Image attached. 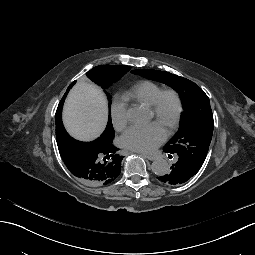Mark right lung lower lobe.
<instances>
[{"mask_svg": "<svg viewBox=\"0 0 255 255\" xmlns=\"http://www.w3.org/2000/svg\"><path fill=\"white\" fill-rule=\"evenodd\" d=\"M100 174V156L83 153L79 157V179L81 181L97 180Z\"/></svg>", "mask_w": 255, "mask_h": 255, "instance_id": "98d812e1", "label": "right lung lower lobe"}]
</instances>
